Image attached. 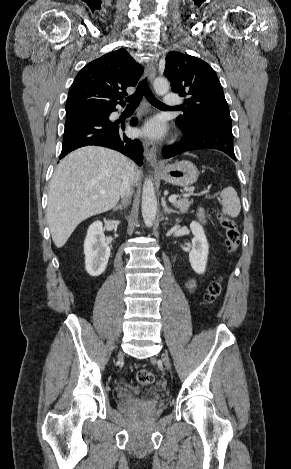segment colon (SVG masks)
Returning <instances> with one entry per match:
<instances>
[{"label": "colon", "mask_w": 291, "mask_h": 469, "mask_svg": "<svg viewBox=\"0 0 291 469\" xmlns=\"http://www.w3.org/2000/svg\"><path fill=\"white\" fill-rule=\"evenodd\" d=\"M218 219L220 225L224 229L225 232V246L229 253H234L240 243V234L237 228L236 223L230 217L223 213L218 214ZM222 292V280L215 279L210 282L207 288V292L205 294V300L207 303L215 302ZM137 381L141 385H150L154 381V375L151 371L147 369H141L137 373Z\"/></svg>", "instance_id": "colon-1"}]
</instances>
